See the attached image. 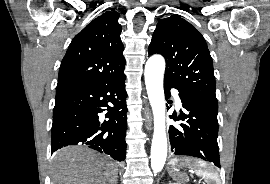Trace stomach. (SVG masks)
<instances>
[{"mask_svg":"<svg viewBox=\"0 0 270 184\" xmlns=\"http://www.w3.org/2000/svg\"><path fill=\"white\" fill-rule=\"evenodd\" d=\"M184 170V163L181 159H173L169 162L168 172L171 177L174 179L184 181L187 179L186 173Z\"/></svg>","mask_w":270,"mask_h":184,"instance_id":"obj_1","label":"stomach"}]
</instances>
